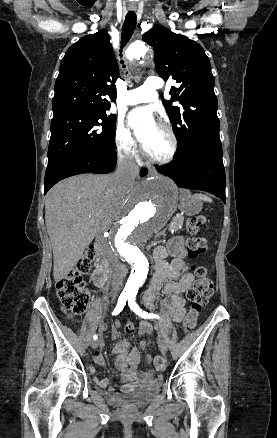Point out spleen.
<instances>
[{
    "instance_id": "1",
    "label": "spleen",
    "mask_w": 277,
    "mask_h": 438,
    "mask_svg": "<svg viewBox=\"0 0 277 438\" xmlns=\"http://www.w3.org/2000/svg\"><path fill=\"white\" fill-rule=\"evenodd\" d=\"M194 198H197V200H204V202H212L211 198L204 196V194H194Z\"/></svg>"
}]
</instances>
